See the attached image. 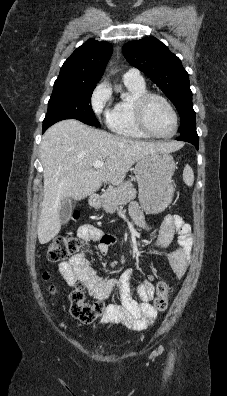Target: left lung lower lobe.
I'll list each match as a JSON object with an SVG mask.
<instances>
[{
    "instance_id": "obj_1",
    "label": "left lung lower lobe",
    "mask_w": 227,
    "mask_h": 396,
    "mask_svg": "<svg viewBox=\"0 0 227 396\" xmlns=\"http://www.w3.org/2000/svg\"><path fill=\"white\" fill-rule=\"evenodd\" d=\"M181 135L177 138L179 141H186L191 144H193L196 149L198 150V143H199V138L196 132V126L189 127L185 131L180 133Z\"/></svg>"
}]
</instances>
